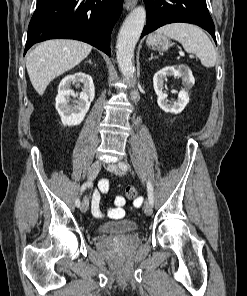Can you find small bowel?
<instances>
[{"label":"small bowel","instance_id":"small-bowel-1","mask_svg":"<svg viewBox=\"0 0 247 296\" xmlns=\"http://www.w3.org/2000/svg\"><path fill=\"white\" fill-rule=\"evenodd\" d=\"M109 190V181L107 179H103L99 182L98 189H96L91 197V212L95 217L102 218L104 216V213L101 209L100 206V201H101V194L107 193ZM117 200H120L121 203L117 204ZM114 203L117 208L109 210V215L112 218H117L115 217L116 212H121L123 215V209L121 208L125 204V200L122 196H116ZM142 204V199L137 198L133 202V207H139Z\"/></svg>","mask_w":247,"mask_h":296}]
</instances>
